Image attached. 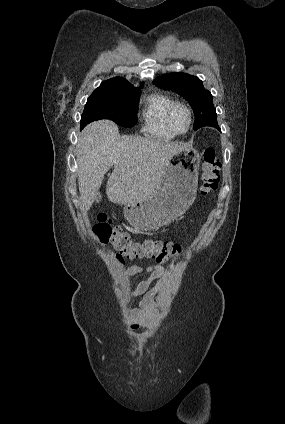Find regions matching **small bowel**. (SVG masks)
Segmentation results:
<instances>
[{
	"label": "small bowel",
	"mask_w": 285,
	"mask_h": 424,
	"mask_svg": "<svg viewBox=\"0 0 285 424\" xmlns=\"http://www.w3.org/2000/svg\"><path fill=\"white\" fill-rule=\"evenodd\" d=\"M143 273L149 274V277L138 283L134 291L131 293V295L134 296H141V300L139 302L141 312L134 314L130 321V327L133 329L145 326L151 308L158 306L162 301L159 291L163 285V267L160 265H150L145 268L140 266H130L125 269V274L129 276L140 275Z\"/></svg>",
	"instance_id": "c3829d8e"
}]
</instances>
